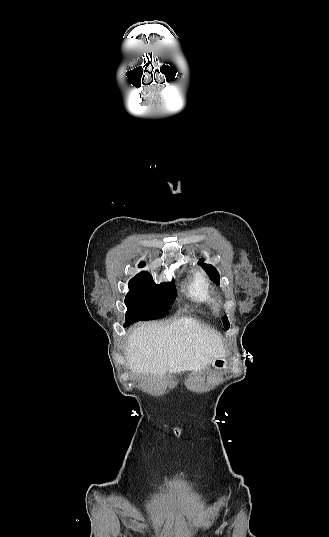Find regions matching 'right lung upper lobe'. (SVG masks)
I'll return each instance as SVG.
<instances>
[{
  "label": "right lung upper lobe",
  "instance_id": "obj_1",
  "mask_svg": "<svg viewBox=\"0 0 329 537\" xmlns=\"http://www.w3.org/2000/svg\"><path fill=\"white\" fill-rule=\"evenodd\" d=\"M144 266H145V262H141V263L139 264V267H144Z\"/></svg>",
  "mask_w": 329,
  "mask_h": 537
}]
</instances>
